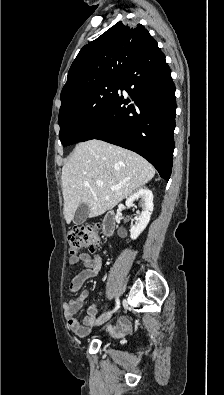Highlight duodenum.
Here are the masks:
<instances>
[{"mask_svg":"<svg viewBox=\"0 0 224 395\" xmlns=\"http://www.w3.org/2000/svg\"><path fill=\"white\" fill-rule=\"evenodd\" d=\"M117 223V214L115 212H108L103 219L102 228L103 234L106 237L113 235Z\"/></svg>","mask_w":224,"mask_h":395,"instance_id":"1","label":"duodenum"}]
</instances>
